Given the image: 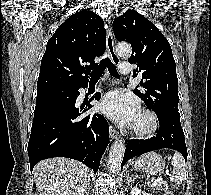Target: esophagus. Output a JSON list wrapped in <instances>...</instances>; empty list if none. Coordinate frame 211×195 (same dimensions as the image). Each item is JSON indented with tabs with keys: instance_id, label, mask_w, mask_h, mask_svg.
Wrapping results in <instances>:
<instances>
[{
	"instance_id": "1",
	"label": "esophagus",
	"mask_w": 211,
	"mask_h": 195,
	"mask_svg": "<svg viewBox=\"0 0 211 195\" xmlns=\"http://www.w3.org/2000/svg\"><path fill=\"white\" fill-rule=\"evenodd\" d=\"M108 23H109V28L107 29V35H106L107 51H108V54H109L112 62L115 65H118L120 60H119V57L117 56L115 49H114V37H113L112 28H111L110 18L108 19ZM110 136L112 139H117L119 136V133L113 127H110Z\"/></svg>"
}]
</instances>
